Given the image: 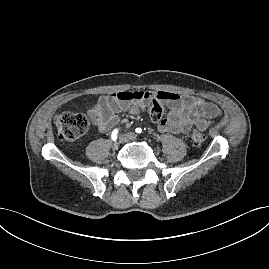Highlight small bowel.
<instances>
[{"instance_id":"1","label":"small bowel","mask_w":269,"mask_h":269,"mask_svg":"<svg viewBox=\"0 0 269 269\" xmlns=\"http://www.w3.org/2000/svg\"><path fill=\"white\" fill-rule=\"evenodd\" d=\"M153 100L165 103L170 108L167 115L152 119L161 132L187 134L193 126L205 130L221 115L215 104L202 98L165 91L153 93L138 90L101 96L96 104L87 109V115L101 131H109L118 125V113H136L148 107Z\"/></svg>"}]
</instances>
